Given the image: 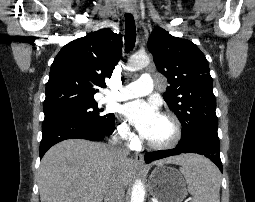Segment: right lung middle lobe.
I'll list each match as a JSON object with an SVG mask.
<instances>
[{
	"label": "right lung middle lobe",
	"instance_id": "right-lung-middle-lobe-1",
	"mask_svg": "<svg viewBox=\"0 0 255 202\" xmlns=\"http://www.w3.org/2000/svg\"><path fill=\"white\" fill-rule=\"evenodd\" d=\"M101 112H103V109H98L97 103L91 102L45 113L44 121L78 119L96 128L107 129L111 127L114 121V114H102Z\"/></svg>",
	"mask_w": 255,
	"mask_h": 202
}]
</instances>
